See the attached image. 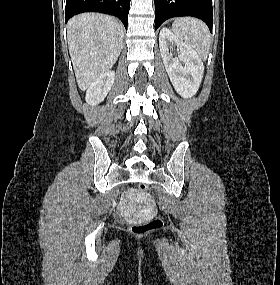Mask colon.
<instances>
[{"instance_id":"1","label":"colon","mask_w":280,"mask_h":285,"mask_svg":"<svg viewBox=\"0 0 280 285\" xmlns=\"http://www.w3.org/2000/svg\"><path fill=\"white\" fill-rule=\"evenodd\" d=\"M137 189L141 193H145L148 190L146 184H139ZM162 225V220L158 217L150 219L144 223L136 224L132 226L131 233L136 236H142L150 232L158 230Z\"/></svg>"}]
</instances>
